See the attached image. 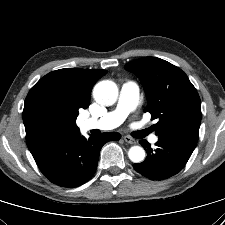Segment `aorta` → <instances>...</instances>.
<instances>
[{
  "instance_id": "1",
  "label": "aorta",
  "mask_w": 225,
  "mask_h": 225,
  "mask_svg": "<svg viewBox=\"0 0 225 225\" xmlns=\"http://www.w3.org/2000/svg\"><path fill=\"white\" fill-rule=\"evenodd\" d=\"M93 96L101 105H112L118 98L117 85L110 80L101 81L94 87ZM128 156L132 162L140 163L145 158V151L140 146H132L128 151Z\"/></svg>"
}]
</instances>
